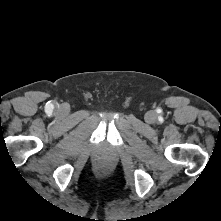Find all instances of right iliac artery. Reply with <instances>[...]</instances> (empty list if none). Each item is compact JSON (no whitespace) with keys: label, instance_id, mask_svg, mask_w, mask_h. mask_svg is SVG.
Here are the masks:
<instances>
[{"label":"right iliac artery","instance_id":"1","mask_svg":"<svg viewBox=\"0 0 221 221\" xmlns=\"http://www.w3.org/2000/svg\"><path fill=\"white\" fill-rule=\"evenodd\" d=\"M52 108H53V107H52V106H50V107H49V110L51 111V110H52Z\"/></svg>","mask_w":221,"mask_h":221}]
</instances>
